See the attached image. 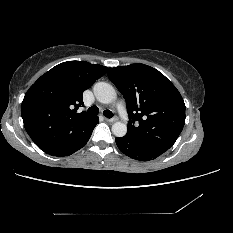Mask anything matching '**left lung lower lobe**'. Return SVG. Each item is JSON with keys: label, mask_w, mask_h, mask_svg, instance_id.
<instances>
[{"label": "left lung lower lobe", "mask_w": 233, "mask_h": 233, "mask_svg": "<svg viewBox=\"0 0 233 233\" xmlns=\"http://www.w3.org/2000/svg\"><path fill=\"white\" fill-rule=\"evenodd\" d=\"M115 140L118 148L125 155L139 161H149L163 154V152L141 146L127 136L120 138L117 137Z\"/></svg>", "instance_id": "left-lung-lower-lobe-1"}]
</instances>
